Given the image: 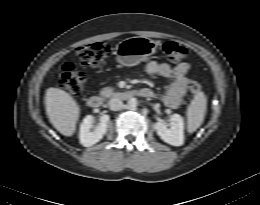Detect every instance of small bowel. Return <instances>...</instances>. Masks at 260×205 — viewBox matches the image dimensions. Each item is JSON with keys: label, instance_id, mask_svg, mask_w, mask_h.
<instances>
[{"label": "small bowel", "instance_id": "c3829d8e", "mask_svg": "<svg viewBox=\"0 0 260 205\" xmlns=\"http://www.w3.org/2000/svg\"><path fill=\"white\" fill-rule=\"evenodd\" d=\"M146 72L151 76H159L166 81L167 90L161 100L169 108H178L186 94V89L191 81L189 77L190 65L180 63L174 67L165 62L150 61L146 65ZM144 97H155L156 93L149 88L140 90Z\"/></svg>", "mask_w": 260, "mask_h": 205}]
</instances>
